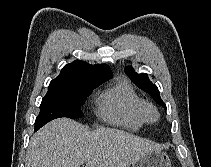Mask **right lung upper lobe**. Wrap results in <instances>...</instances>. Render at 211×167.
<instances>
[{"label": "right lung upper lobe", "mask_w": 211, "mask_h": 167, "mask_svg": "<svg viewBox=\"0 0 211 167\" xmlns=\"http://www.w3.org/2000/svg\"><path fill=\"white\" fill-rule=\"evenodd\" d=\"M113 75L106 64L90 65L84 61L75 60L65 65L59 76L53 79L48 88L72 86L86 81H106Z\"/></svg>", "instance_id": "cb5924a9"}]
</instances>
